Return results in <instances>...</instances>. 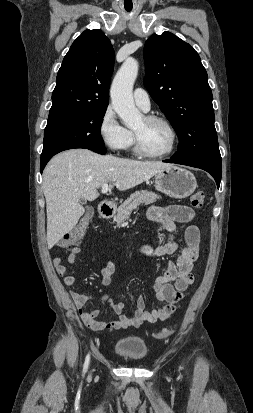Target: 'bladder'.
I'll return each instance as SVG.
<instances>
[{
	"label": "bladder",
	"instance_id": "bladder-1",
	"mask_svg": "<svg viewBox=\"0 0 253 413\" xmlns=\"http://www.w3.org/2000/svg\"><path fill=\"white\" fill-rule=\"evenodd\" d=\"M114 352L123 360L138 362L147 357L148 347L138 341H123L115 346Z\"/></svg>",
	"mask_w": 253,
	"mask_h": 413
}]
</instances>
